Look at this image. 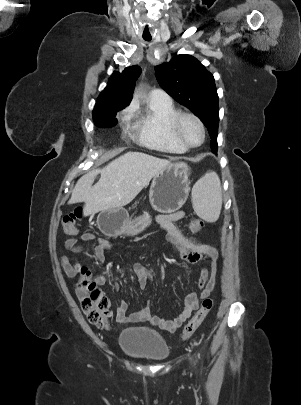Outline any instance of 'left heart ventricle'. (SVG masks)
I'll use <instances>...</instances> for the list:
<instances>
[{
  "label": "left heart ventricle",
  "instance_id": "obj_1",
  "mask_svg": "<svg viewBox=\"0 0 301 405\" xmlns=\"http://www.w3.org/2000/svg\"><path fill=\"white\" fill-rule=\"evenodd\" d=\"M180 129L182 136L188 143L197 145L201 142V129L193 119L185 118L181 123Z\"/></svg>",
  "mask_w": 301,
  "mask_h": 405
}]
</instances>
